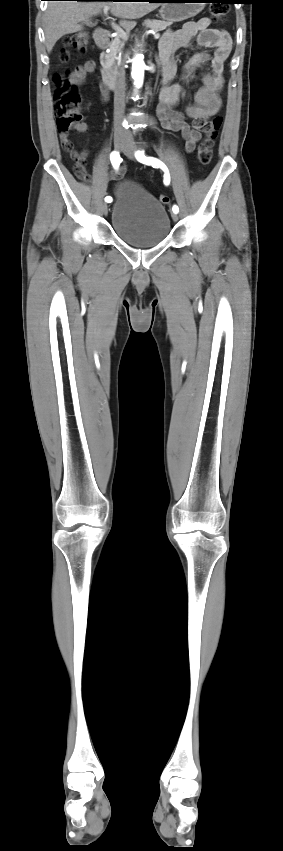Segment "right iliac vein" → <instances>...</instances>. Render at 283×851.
<instances>
[{
	"instance_id": "63e3f726",
	"label": "right iliac vein",
	"mask_w": 283,
	"mask_h": 851,
	"mask_svg": "<svg viewBox=\"0 0 283 851\" xmlns=\"http://www.w3.org/2000/svg\"><path fill=\"white\" fill-rule=\"evenodd\" d=\"M115 148H116L117 150H119V151H123V150H124V148H125V144H124L123 140H121V139H116V140H115ZM102 211H103L104 215H107V213H108V205H107L106 203H104V204L102 205Z\"/></svg>"
}]
</instances>
